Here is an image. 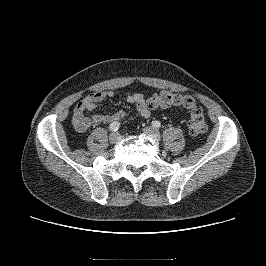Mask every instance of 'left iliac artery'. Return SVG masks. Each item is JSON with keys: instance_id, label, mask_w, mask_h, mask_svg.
I'll list each match as a JSON object with an SVG mask.
<instances>
[{"instance_id": "obj_1", "label": "left iliac artery", "mask_w": 266, "mask_h": 266, "mask_svg": "<svg viewBox=\"0 0 266 266\" xmlns=\"http://www.w3.org/2000/svg\"><path fill=\"white\" fill-rule=\"evenodd\" d=\"M152 126L155 128H159L161 126V123L159 121L155 120L152 122Z\"/></svg>"}]
</instances>
